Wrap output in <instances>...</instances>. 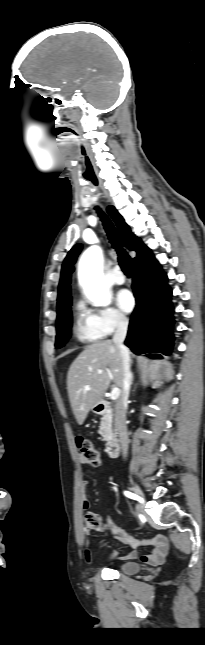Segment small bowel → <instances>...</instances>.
I'll return each mask as SVG.
<instances>
[{
  "instance_id": "small-bowel-1",
  "label": "small bowel",
  "mask_w": 205,
  "mask_h": 645,
  "mask_svg": "<svg viewBox=\"0 0 205 645\" xmlns=\"http://www.w3.org/2000/svg\"><path fill=\"white\" fill-rule=\"evenodd\" d=\"M80 461L83 465L87 464L83 458H81ZM83 473H85V471H83ZM82 485L86 487L87 481L84 480L82 482ZM82 506H83V509L85 510L89 508V502L87 499H83ZM106 522H107L108 529L115 535V537L120 542H122L123 544L131 548V550L121 559L123 560L137 559L139 557L138 548L141 546H150L151 551L145 555H142L140 557V560L143 563L150 564V565H158L164 562L169 550V542L165 536L157 535L152 538L138 539L136 537L129 535L128 533H126L125 530L118 527L110 517L107 518ZM85 556L88 564H93L94 559L91 552L86 551ZM115 556H116V552L114 551L112 552L111 557H115Z\"/></svg>"
}]
</instances>
